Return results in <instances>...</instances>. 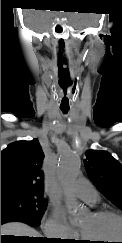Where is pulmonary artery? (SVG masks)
<instances>
[{"mask_svg":"<svg viewBox=\"0 0 122 243\" xmlns=\"http://www.w3.org/2000/svg\"><path fill=\"white\" fill-rule=\"evenodd\" d=\"M74 193L90 205H95L99 196L96 189L86 180L79 179L72 185Z\"/></svg>","mask_w":122,"mask_h":243,"instance_id":"e3ab8cb5","label":"pulmonary artery"}]
</instances>
